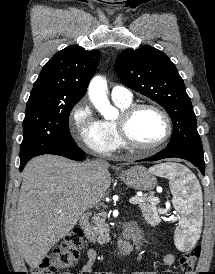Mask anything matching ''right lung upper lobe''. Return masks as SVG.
<instances>
[{
    "mask_svg": "<svg viewBox=\"0 0 215 274\" xmlns=\"http://www.w3.org/2000/svg\"><path fill=\"white\" fill-rule=\"evenodd\" d=\"M100 53L71 45L56 53L35 81L28 102H78L95 73Z\"/></svg>",
    "mask_w": 215,
    "mask_h": 274,
    "instance_id": "1",
    "label": "right lung upper lobe"
}]
</instances>
